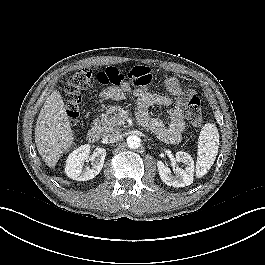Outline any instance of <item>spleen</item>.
I'll return each instance as SVG.
<instances>
[{
  "label": "spleen",
  "instance_id": "spleen-1",
  "mask_svg": "<svg viewBox=\"0 0 265 265\" xmlns=\"http://www.w3.org/2000/svg\"><path fill=\"white\" fill-rule=\"evenodd\" d=\"M219 148V133L215 124L207 123L203 126L199 140L196 161V177L201 178L212 167Z\"/></svg>",
  "mask_w": 265,
  "mask_h": 265
}]
</instances>
